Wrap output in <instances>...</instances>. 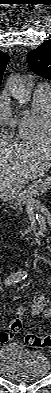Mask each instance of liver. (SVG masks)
<instances>
[{
  "instance_id": "liver-1",
  "label": "liver",
  "mask_w": 51,
  "mask_h": 393,
  "mask_svg": "<svg viewBox=\"0 0 51 393\" xmlns=\"http://www.w3.org/2000/svg\"><path fill=\"white\" fill-rule=\"evenodd\" d=\"M51 168L50 146L0 141V191L20 189Z\"/></svg>"
}]
</instances>
